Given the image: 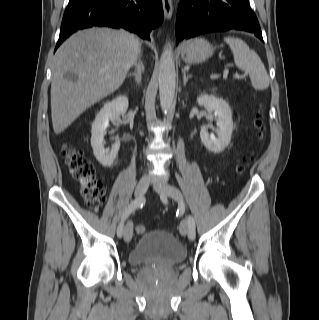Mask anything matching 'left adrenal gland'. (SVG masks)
I'll use <instances>...</instances> for the list:
<instances>
[{
  "label": "left adrenal gland",
  "instance_id": "left-adrenal-gland-1",
  "mask_svg": "<svg viewBox=\"0 0 319 320\" xmlns=\"http://www.w3.org/2000/svg\"><path fill=\"white\" fill-rule=\"evenodd\" d=\"M182 73H183V83H184V86L186 85V83L188 82V79L192 77L191 74H186V70L183 69L182 70Z\"/></svg>",
  "mask_w": 319,
  "mask_h": 320
}]
</instances>
